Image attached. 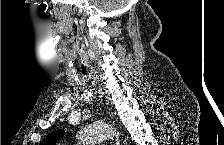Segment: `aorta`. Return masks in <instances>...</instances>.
Segmentation results:
<instances>
[{"label":"aorta","instance_id":"762f6f07","mask_svg":"<svg viewBox=\"0 0 224 145\" xmlns=\"http://www.w3.org/2000/svg\"><path fill=\"white\" fill-rule=\"evenodd\" d=\"M116 134V131L106 123H94L79 131L78 139L83 145L103 142Z\"/></svg>","mask_w":224,"mask_h":145}]
</instances>
